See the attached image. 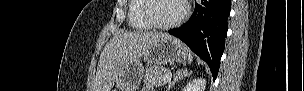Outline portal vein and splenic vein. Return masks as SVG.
Segmentation results:
<instances>
[{
    "label": "portal vein and splenic vein",
    "mask_w": 304,
    "mask_h": 91,
    "mask_svg": "<svg viewBox=\"0 0 304 91\" xmlns=\"http://www.w3.org/2000/svg\"><path fill=\"white\" fill-rule=\"evenodd\" d=\"M171 77H172V73L171 72L167 73L165 77L166 82L169 81Z\"/></svg>",
    "instance_id": "obj_1"
}]
</instances>
